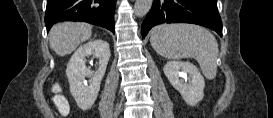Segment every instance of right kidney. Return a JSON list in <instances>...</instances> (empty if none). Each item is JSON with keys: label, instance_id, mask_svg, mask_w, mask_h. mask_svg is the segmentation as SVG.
<instances>
[{"label": "right kidney", "instance_id": "obj_1", "mask_svg": "<svg viewBox=\"0 0 273 118\" xmlns=\"http://www.w3.org/2000/svg\"><path fill=\"white\" fill-rule=\"evenodd\" d=\"M91 55L99 59V67L95 73L85 65L86 57ZM110 55L109 44L104 40H94L81 45L72 55L67 65L66 75L70 92L81 109L88 110L94 104ZM86 77L89 78V85Z\"/></svg>", "mask_w": 273, "mask_h": 118}]
</instances>
